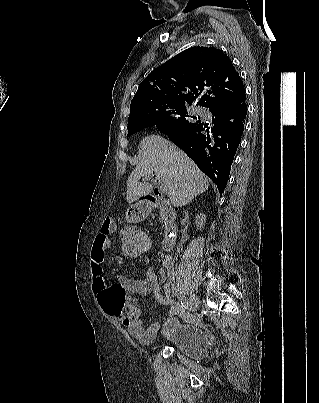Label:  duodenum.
Wrapping results in <instances>:
<instances>
[{
    "instance_id": "1",
    "label": "duodenum",
    "mask_w": 319,
    "mask_h": 403,
    "mask_svg": "<svg viewBox=\"0 0 319 403\" xmlns=\"http://www.w3.org/2000/svg\"><path fill=\"white\" fill-rule=\"evenodd\" d=\"M142 202L136 207V214L140 218L146 217L153 208L161 210L164 221V237L162 247L165 250L173 248L178 233L176 224V212L166 200L164 194L156 190L154 193L142 198Z\"/></svg>"
}]
</instances>
